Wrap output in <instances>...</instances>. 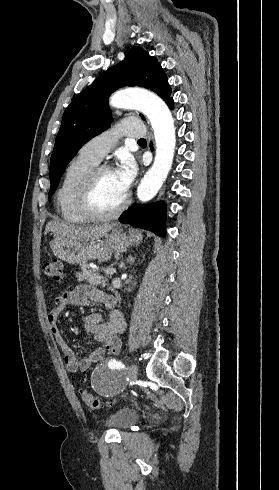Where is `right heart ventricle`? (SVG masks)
Here are the masks:
<instances>
[{
    "label": "right heart ventricle",
    "mask_w": 279,
    "mask_h": 490,
    "mask_svg": "<svg viewBox=\"0 0 279 490\" xmlns=\"http://www.w3.org/2000/svg\"><path fill=\"white\" fill-rule=\"evenodd\" d=\"M96 165L79 154L65 167L57 201L62 218L70 224L81 225L89 221L80 210L79 195L85 176Z\"/></svg>",
    "instance_id": "right-heart-ventricle-1"
}]
</instances>
